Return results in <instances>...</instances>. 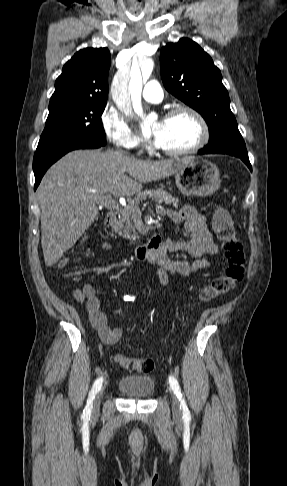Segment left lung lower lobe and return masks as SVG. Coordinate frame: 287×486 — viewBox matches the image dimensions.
Instances as JSON below:
<instances>
[{
    "instance_id": "0a47b994",
    "label": "left lung lower lobe",
    "mask_w": 287,
    "mask_h": 486,
    "mask_svg": "<svg viewBox=\"0 0 287 486\" xmlns=\"http://www.w3.org/2000/svg\"><path fill=\"white\" fill-rule=\"evenodd\" d=\"M198 154L203 155L205 153L199 150ZM236 157H239L248 166V168L252 171V167H251L248 156H236Z\"/></svg>"
}]
</instances>
